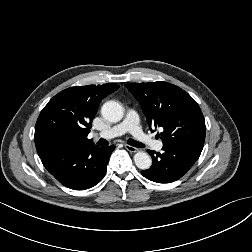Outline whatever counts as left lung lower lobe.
Wrapping results in <instances>:
<instances>
[{"label":"left lung lower lobe","mask_w":252,"mask_h":252,"mask_svg":"<svg viewBox=\"0 0 252 252\" xmlns=\"http://www.w3.org/2000/svg\"><path fill=\"white\" fill-rule=\"evenodd\" d=\"M162 153L147 150L153 158L152 166L141 174L157 183H171L181 178L197 161L201 151L191 147L163 146Z\"/></svg>","instance_id":"0a47b994"}]
</instances>
